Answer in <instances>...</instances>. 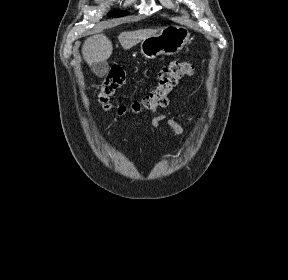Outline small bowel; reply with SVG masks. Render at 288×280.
<instances>
[{"label": "small bowel", "instance_id": "obj_1", "mask_svg": "<svg viewBox=\"0 0 288 280\" xmlns=\"http://www.w3.org/2000/svg\"><path fill=\"white\" fill-rule=\"evenodd\" d=\"M150 125L154 128L159 126H166L179 135L186 133V129L181 124L163 114L153 118L150 122Z\"/></svg>", "mask_w": 288, "mask_h": 280}]
</instances>
